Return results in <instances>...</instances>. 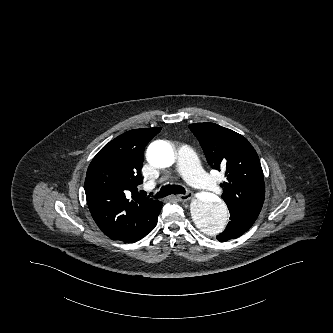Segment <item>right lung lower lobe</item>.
Returning <instances> with one entry per match:
<instances>
[{
	"mask_svg": "<svg viewBox=\"0 0 333 333\" xmlns=\"http://www.w3.org/2000/svg\"><path fill=\"white\" fill-rule=\"evenodd\" d=\"M161 207L162 203L159 202L151 210H149L148 213L141 216L133 227V230L120 240L125 243H133L146 236L156 226Z\"/></svg>",
	"mask_w": 333,
	"mask_h": 333,
	"instance_id": "right-lung-lower-lobe-1",
	"label": "right lung lower lobe"
}]
</instances>
